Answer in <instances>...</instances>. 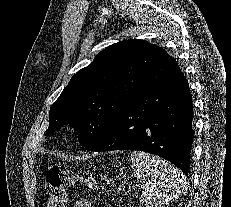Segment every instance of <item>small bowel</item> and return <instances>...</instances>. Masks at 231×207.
<instances>
[{"label":"small bowel","mask_w":231,"mask_h":207,"mask_svg":"<svg viewBox=\"0 0 231 207\" xmlns=\"http://www.w3.org/2000/svg\"><path fill=\"white\" fill-rule=\"evenodd\" d=\"M73 207H94L92 203L87 200H79L75 203Z\"/></svg>","instance_id":"small-bowel-1"}]
</instances>
